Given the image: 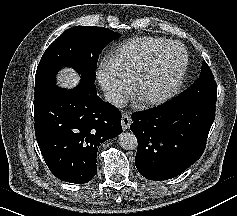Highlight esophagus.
I'll return each mask as SVG.
<instances>
[{"label":"esophagus","instance_id":"esophagus-1","mask_svg":"<svg viewBox=\"0 0 237 216\" xmlns=\"http://www.w3.org/2000/svg\"><path fill=\"white\" fill-rule=\"evenodd\" d=\"M130 124H131V117L129 114L127 113H124L122 115V129L125 131L127 129H129L130 127Z\"/></svg>","mask_w":237,"mask_h":216}]
</instances>
